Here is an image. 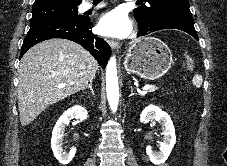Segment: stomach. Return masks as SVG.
<instances>
[{"mask_svg": "<svg viewBox=\"0 0 227 166\" xmlns=\"http://www.w3.org/2000/svg\"><path fill=\"white\" fill-rule=\"evenodd\" d=\"M172 63L171 51L163 41L155 37H144L129 48L124 67L128 73L155 80L165 75Z\"/></svg>", "mask_w": 227, "mask_h": 166, "instance_id": "0dacf381", "label": "stomach"}]
</instances>
